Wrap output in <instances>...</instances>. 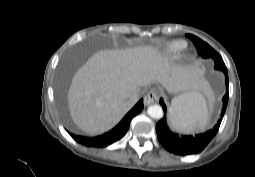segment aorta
Masks as SVG:
<instances>
[{
  "label": "aorta",
  "mask_w": 255,
  "mask_h": 177,
  "mask_svg": "<svg viewBox=\"0 0 255 177\" xmlns=\"http://www.w3.org/2000/svg\"><path fill=\"white\" fill-rule=\"evenodd\" d=\"M147 113H148V115H149L151 118H154V119H160V118H162V116H163L162 107L159 106V105H152V106H149V107H148V110H147Z\"/></svg>",
  "instance_id": "762f6f07"
}]
</instances>
